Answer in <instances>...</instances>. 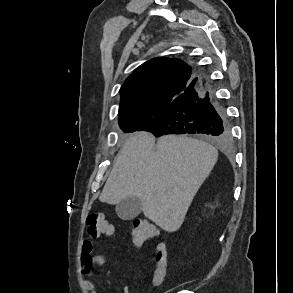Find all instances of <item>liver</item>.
I'll list each match as a JSON object with an SVG mask.
<instances>
[{
  "label": "liver",
  "instance_id": "1",
  "mask_svg": "<svg viewBox=\"0 0 293 293\" xmlns=\"http://www.w3.org/2000/svg\"><path fill=\"white\" fill-rule=\"evenodd\" d=\"M217 158L215 147L194 138L165 135L155 143L151 133L136 132L119 151L99 200L115 205L138 197L145 217L175 232Z\"/></svg>",
  "mask_w": 293,
  "mask_h": 293
}]
</instances>
